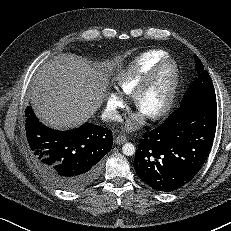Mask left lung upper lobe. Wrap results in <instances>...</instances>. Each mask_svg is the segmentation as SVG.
Instances as JSON below:
<instances>
[{"label":"left lung upper lobe","instance_id":"obj_1","mask_svg":"<svg viewBox=\"0 0 231 231\" xmlns=\"http://www.w3.org/2000/svg\"><path fill=\"white\" fill-rule=\"evenodd\" d=\"M196 70L198 71V77L191 83L189 89L186 91L182 104L193 100H205L216 98L214 86L208 72L204 69V66L200 59L195 55Z\"/></svg>","mask_w":231,"mask_h":231}]
</instances>
